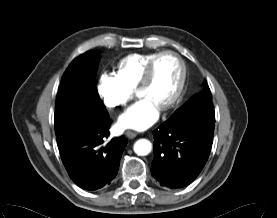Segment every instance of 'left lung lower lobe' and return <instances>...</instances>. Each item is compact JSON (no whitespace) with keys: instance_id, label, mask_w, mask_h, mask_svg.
Here are the masks:
<instances>
[{"instance_id":"1","label":"left lung lower lobe","mask_w":277,"mask_h":218,"mask_svg":"<svg viewBox=\"0 0 277 218\" xmlns=\"http://www.w3.org/2000/svg\"><path fill=\"white\" fill-rule=\"evenodd\" d=\"M215 116L167 120L153 132L152 176L172 189L189 185L203 169L212 147Z\"/></svg>"}]
</instances>
